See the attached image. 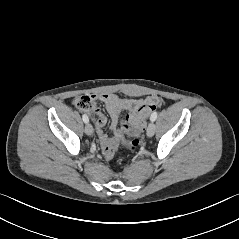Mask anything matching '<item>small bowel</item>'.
Masks as SVG:
<instances>
[{"mask_svg":"<svg viewBox=\"0 0 239 239\" xmlns=\"http://www.w3.org/2000/svg\"><path fill=\"white\" fill-rule=\"evenodd\" d=\"M91 101L93 107L91 112L97 115L95 120L96 131L101 142L103 154L107 159L112 158L114 151L120 140L124 137L126 128H118L119 115L121 112L127 111L130 116L139 108L142 101L130 98H122L113 93H103L91 95ZM157 97H148L145 102L148 104H157ZM98 102H102L105 105L106 111L110 116V127L113 130V136H108L103 127L106 124V118L101 113L98 106Z\"/></svg>","mask_w":239,"mask_h":239,"instance_id":"obj_1","label":"small bowel"}]
</instances>
